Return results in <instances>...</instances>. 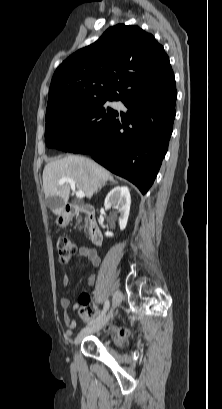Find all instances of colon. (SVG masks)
<instances>
[{
    "label": "colon",
    "mask_w": 222,
    "mask_h": 409,
    "mask_svg": "<svg viewBox=\"0 0 222 409\" xmlns=\"http://www.w3.org/2000/svg\"><path fill=\"white\" fill-rule=\"evenodd\" d=\"M76 252V246L73 241L68 238H59L57 241V255L61 263H67L71 257ZM81 313L84 317H88L92 314L90 308H84L81 310ZM128 336V331L126 329H120L118 331V337L124 338Z\"/></svg>",
    "instance_id": "1"
}]
</instances>
